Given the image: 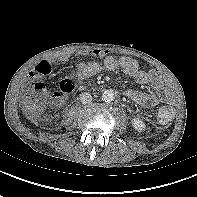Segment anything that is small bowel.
Returning a JSON list of instances; mask_svg holds the SVG:
<instances>
[{
    "instance_id": "1",
    "label": "small bowel",
    "mask_w": 197,
    "mask_h": 197,
    "mask_svg": "<svg viewBox=\"0 0 197 197\" xmlns=\"http://www.w3.org/2000/svg\"><path fill=\"white\" fill-rule=\"evenodd\" d=\"M81 56H91L103 59V65L106 69L122 70L125 74L132 77L139 84H150L153 86L155 92H143L136 89H128L125 94L135 103L144 107H153L161 101H173V90L168 85V82L163 78L157 70L145 71L140 69L136 60L130 57H116L108 55L101 50H84L80 51ZM70 56L62 54L56 58L59 63H65ZM54 60H44L38 63L30 72L33 78L46 76L52 71V64ZM102 65L97 61L82 62L77 66V79H84L92 77L99 73Z\"/></svg>"
}]
</instances>
